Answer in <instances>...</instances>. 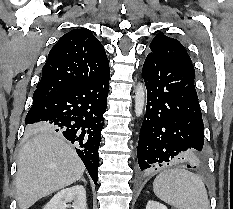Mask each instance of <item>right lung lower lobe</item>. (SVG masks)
<instances>
[{
    "instance_id": "1",
    "label": "right lung lower lobe",
    "mask_w": 233,
    "mask_h": 209,
    "mask_svg": "<svg viewBox=\"0 0 233 209\" xmlns=\"http://www.w3.org/2000/svg\"><path fill=\"white\" fill-rule=\"evenodd\" d=\"M110 68L75 88L33 103L25 123L47 125L74 144L94 183L98 179V149L109 91Z\"/></svg>"
}]
</instances>
